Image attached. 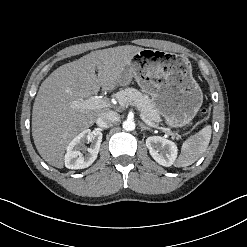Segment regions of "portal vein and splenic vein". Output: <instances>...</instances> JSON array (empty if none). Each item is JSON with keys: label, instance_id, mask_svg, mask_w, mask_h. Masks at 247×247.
Masks as SVG:
<instances>
[{"label": "portal vein and splenic vein", "instance_id": "1", "mask_svg": "<svg viewBox=\"0 0 247 247\" xmlns=\"http://www.w3.org/2000/svg\"><path fill=\"white\" fill-rule=\"evenodd\" d=\"M78 106L83 108V109H99V108L108 107V103H107V101L100 99L98 96H91L89 99L82 100L81 102H79ZM139 115H140V118L147 125H149L151 127H158L156 124L147 120L141 112ZM159 128L164 129L166 131V133L171 135L172 137L175 136V134L173 132H171L169 129L162 128V127H159Z\"/></svg>", "mask_w": 247, "mask_h": 247}]
</instances>
